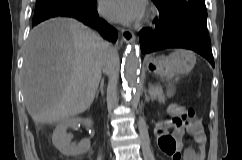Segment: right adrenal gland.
Here are the masks:
<instances>
[{
  "instance_id": "1",
  "label": "right adrenal gland",
  "mask_w": 242,
  "mask_h": 160,
  "mask_svg": "<svg viewBox=\"0 0 242 160\" xmlns=\"http://www.w3.org/2000/svg\"><path fill=\"white\" fill-rule=\"evenodd\" d=\"M103 88H104V79L102 78L101 82H100V87H99V89L96 92V98H98L99 92H101L102 95L104 94Z\"/></svg>"
}]
</instances>
